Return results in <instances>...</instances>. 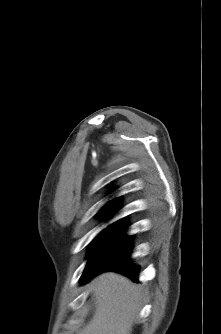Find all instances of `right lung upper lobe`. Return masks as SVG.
I'll return each mask as SVG.
<instances>
[{
	"label": "right lung upper lobe",
	"mask_w": 221,
	"mask_h": 334,
	"mask_svg": "<svg viewBox=\"0 0 221 334\" xmlns=\"http://www.w3.org/2000/svg\"><path fill=\"white\" fill-rule=\"evenodd\" d=\"M117 202H118V198L109 202L100 212H110L116 209Z\"/></svg>",
	"instance_id": "cb5924a9"
}]
</instances>
